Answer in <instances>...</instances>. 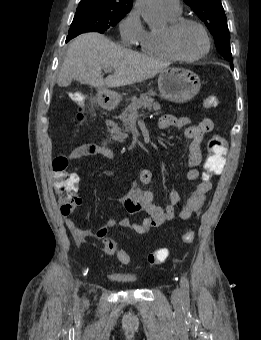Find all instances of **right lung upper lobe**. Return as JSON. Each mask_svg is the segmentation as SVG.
<instances>
[{
	"label": "right lung upper lobe",
	"instance_id": "1",
	"mask_svg": "<svg viewBox=\"0 0 261 340\" xmlns=\"http://www.w3.org/2000/svg\"><path fill=\"white\" fill-rule=\"evenodd\" d=\"M133 0H81L79 5L117 7L130 11Z\"/></svg>",
	"mask_w": 261,
	"mask_h": 340
}]
</instances>
